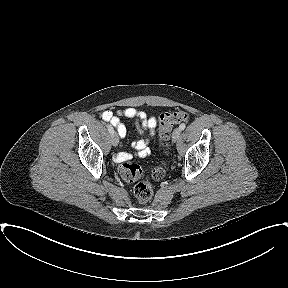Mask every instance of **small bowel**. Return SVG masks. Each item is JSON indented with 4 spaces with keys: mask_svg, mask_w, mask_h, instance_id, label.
I'll return each instance as SVG.
<instances>
[{
    "mask_svg": "<svg viewBox=\"0 0 288 288\" xmlns=\"http://www.w3.org/2000/svg\"><path fill=\"white\" fill-rule=\"evenodd\" d=\"M101 117L116 129L121 138L126 136L127 128L120 120V117L135 119L137 121V133L143 137L132 143V147L136 151L135 155L139 158H145L150 155L151 151L148 145L155 136V127L157 125V119L155 116H148L146 112L135 107H127L117 110L116 114L112 111L106 110L102 112ZM132 157L133 155L131 153L120 152L116 156V160L118 162H123L125 160H130Z\"/></svg>",
    "mask_w": 288,
    "mask_h": 288,
    "instance_id": "1",
    "label": "small bowel"
}]
</instances>
